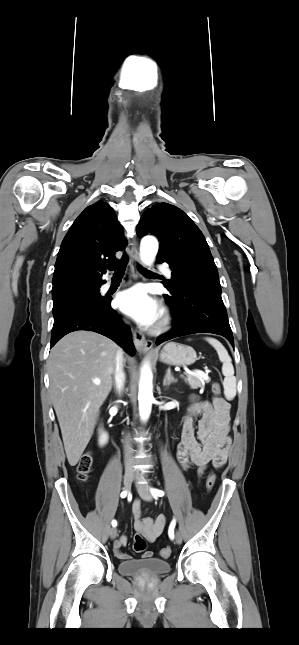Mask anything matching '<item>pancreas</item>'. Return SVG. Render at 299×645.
Masks as SVG:
<instances>
[{
    "label": "pancreas",
    "mask_w": 299,
    "mask_h": 645,
    "mask_svg": "<svg viewBox=\"0 0 299 645\" xmlns=\"http://www.w3.org/2000/svg\"><path fill=\"white\" fill-rule=\"evenodd\" d=\"M185 382L189 384L191 389H197L201 387L204 383L210 382V378L207 377H202V376H196V375H187L186 378H184Z\"/></svg>",
    "instance_id": "cf45deb5"
}]
</instances>
